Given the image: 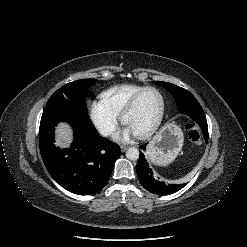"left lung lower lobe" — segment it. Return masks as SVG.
I'll return each mask as SVG.
<instances>
[{"label": "left lung lower lobe", "instance_id": "0a47b994", "mask_svg": "<svg viewBox=\"0 0 247 247\" xmlns=\"http://www.w3.org/2000/svg\"><path fill=\"white\" fill-rule=\"evenodd\" d=\"M201 128L202 136L206 143H208V125L207 120L202 119L197 122ZM143 150L146 149V145L141 146ZM136 172L142 186L150 191L151 193L158 195H168L175 193L182 189L186 184H169L162 182L159 177L155 175L153 170L150 168L145 156L140 152L139 160L136 165Z\"/></svg>", "mask_w": 247, "mask_h": 247}]
</instances>
